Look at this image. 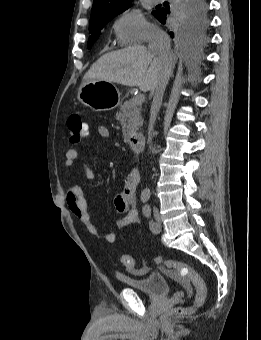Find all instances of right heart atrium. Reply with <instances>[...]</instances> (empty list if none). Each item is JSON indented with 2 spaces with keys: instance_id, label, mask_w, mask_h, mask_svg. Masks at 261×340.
Masks as SVG:
<instances>
[{
  "instance_id": "d8ad5b80",
  "label": "right heart atrium",
  "mask_w": 261,
  "mask_h": 340,
  "mask_svg": "<svg viewBox=\"0 0 261 340\" xmlns=\"http://www.w3.org/2000/svg\"><path fill=\"white\" fill-rule=\"evenodd\" d=\"M113 27L118 40L125 45L141 43L158 33L156 27L149 23L137 9L121 12L115 18Z\"/></svg>"
}]
</instances>
